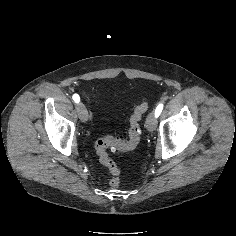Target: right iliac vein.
<instances>
[{
	"instance_id": "right-iliac-vein-1",
	"label": "right iliac vein",
	"mask_w": 236,
	"mask_h": 236,
	"mask_svg": "<svg viewBox=\"0 0 236 236\" xmlns=\"http://www.w3.org/2000/svg\"><path fill=\"white\" fill-rule=\"evenodd\" d=\"M77 112H78V116H79L80 120L84 123L87 122L88 112H87V109L83 103H79L77 105Z\"/></svg>"
}]
</instances>
